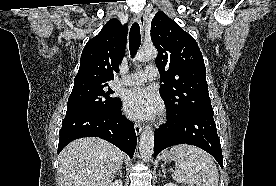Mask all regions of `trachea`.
Returning <instances> with one entry per match:
<instances>
[{
	"label": "trachea",
	"mask_w": 276,
	"mask_h": 186,
	"mask_svg": "<svg viewBox=\"0 0 276 186\" xmlns=\"http://www.w3.org/2000/svg\"><path fill=\"white\" fill-rule=\"evenodd\" d=\"M141 36H140V27L137 22H134L130 29L129 35V50L131 58H134L137 50L140 47Z\"/></svg>",
	"instance_id": "3493384b"
}]
</instances>
